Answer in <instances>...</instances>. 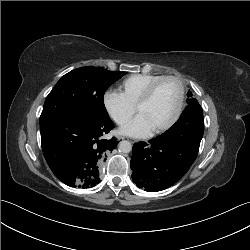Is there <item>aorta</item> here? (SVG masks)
I'll use <instances>...</instances> for the list:
<instances>
[{"mask_svg":"<svg viewBox=\"0 0 250 250\" xmlns=\"http://www.w3.org/2000/svg\"><path fill=\"white\" fill-rule=\"evenodd\" d=\"M118 149L122 153H129L132 150V145L129 141L123 140L119 143Z\"/></svg>","mask_w":250,"mask_h":250,"instance_id":"762f6f07","label":"aorta"}]
</instances>
